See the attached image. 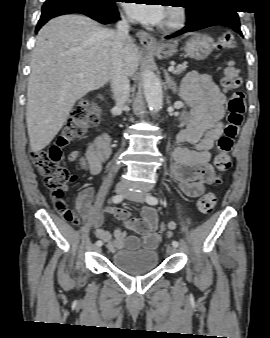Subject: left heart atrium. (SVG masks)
Returning a JSON list of instances; mask_svg holds the SVG:
<instances>
[{"instance_id": "1", "label": "left heart atrium", "mask_w": 270, "mask_h": 338, "mask_svg": "<svg viewBox=\"0 0 270 338\" xmlns=\"http://www.w3.org/2000/svg\"><path fill=\"white\" fill-rule=\"evenodd\" d=\"M135 1V0H129ZM129 14L139 21L157 24L164 18V11L161 5H142L138 3H124Z\"/></svg>"}]
</instances>
